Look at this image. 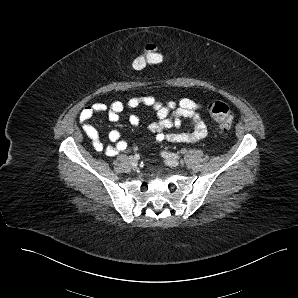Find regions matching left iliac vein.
<instances>
[{"instance_id": "4c4485c4", "label": "left iliac vein", "mask_w": 298, "mask_h": 298, "mask_svg": "<svg viewBox=\"0 0 298 298\" xmlns=\"http://www.w3.org/2000/svg\"><path fill=\"white\" fill-rule=\"evenodd\" d=\"M165 163L171 167H176L179 165V161L174 158H165Z\"/></svg>"}]
</instances>
